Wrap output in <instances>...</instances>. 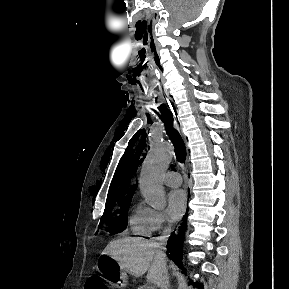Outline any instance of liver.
Listing matches in <instances>:
<instances>
[{"label":"liver","instance_id":"obj_1","mask_svg":"<svg viewBox=\"0 0 289 289\" xmlns=\"http://www.w3.org/2000/svg\"><path fill=\"white\" fill-rule=\"evenodd\" d=\"M102 255L112 256L122 270L140 277L146 272L147 280L157 284L163 274V266L154 244L142 238H121L111 241Z\"/></svg>","mask_w":289,"mask_h":289}]
</instances>
